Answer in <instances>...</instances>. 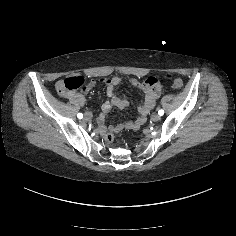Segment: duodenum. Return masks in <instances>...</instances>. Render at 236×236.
Listing matches in <instances>:
<instances>
[{
  "label": "duodenum",
  "mask_w": 236,
  "mask_h": 236,
  "mask_svg": "<svg viewBox=\"0 0 236 236\" xmlns=\"http://www.w3.org/2000/svg\"><path fill=\"white\" fill-rule=\"evenodd\" d=\"M108 83H109V96H110V98H111V103H113V102H119L120 100L118 99V98H116V97H114L112 94H113V86H115V85H117L118 84V80H116V79H112V80H109V81H107ZM133 84L135 85V86H137V87H139V88H142V89H144L145 91H146V93H147V98H146V101H145V103H144V105H146V103L149 101V100H151V99H153L154 98V96L156 95V93H157V88H156V86L155 85H152V83H145V82H143V83H141V82H138V81H134L133 82ZM76 104H81L82 103V100H80V99H76V100H73ZM144 105H142L141 107H143ZM140 107V108H141ZM123 126H119L117 129H120V128H122Z\"/></svg>",
  "instance_id": "1"
}]
</instances>
